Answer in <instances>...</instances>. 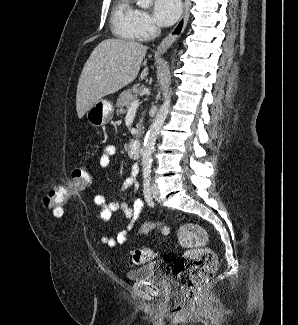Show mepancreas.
<instances>
[{"instance_id":"obj_1","label":"pancreas","mask_w":298,"mask_h":325,"mask_svg":"<svg viewBox=\"0 0 298 325\" xmlns=\"http://www.w3.org/2000/svg\"><path fill=\"white\" fill-rule=\"evenodd\" d=\"M139 92H141V86H139V84H134V86H129V88H126V90H122L121 94H119L116 100L117 114H124V112L127 110V106H130L132 100H135V98H137ZM142 122L143 116L142 118H139L136 124L138 134H140L142 130Z\"/></svg>"}]
</instances>
